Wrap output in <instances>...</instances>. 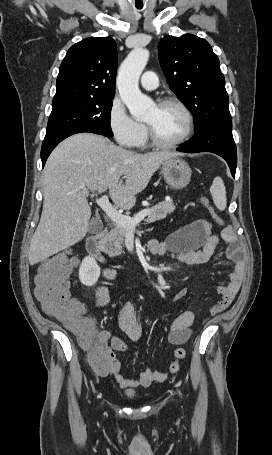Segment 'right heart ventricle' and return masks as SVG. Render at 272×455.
<instances>
[{
	"label": "right heart ventricle",
	"mask_w": 272,
	"mask_h": 455,
	"mask_svg": "<svg viewBox=\"0 0 272 455\" xmlns=\"http://www.w3.org/2000/svg\"><path fill=\"white\" fill-rule=\"evenodd\" d=\"M146 145H147V133L145 131L143 138L141 139V141L138 144V147H146Z\"/></svg>",
	"instance_id": "1"
}]
</instances>
